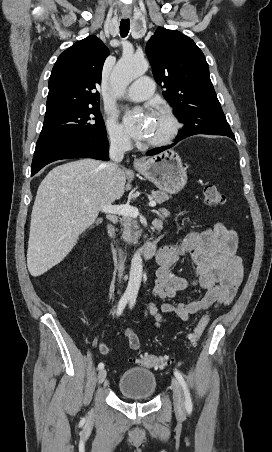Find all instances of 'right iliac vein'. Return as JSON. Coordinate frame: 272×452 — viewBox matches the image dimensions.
Instances as JSON below:
<instances>
[{
  "label": "right iliac vein",
  "instance_id": "63e3f726",
  "mask_svg": "<svg viewBox=\"0 0 272 452\" xmlns=\"http://www.w3.org/2000/svg\"><path fill=\"white\" fill-rule=\"evenodd\" d=\"M106 370L105 369H101L98 373V377H97V381L99 384L103 383L105 378H106Z\"/></svg>",
  "mask_w": 272,
  "mask_h": 452
}]
</instances>
